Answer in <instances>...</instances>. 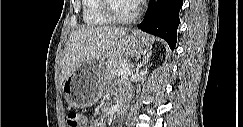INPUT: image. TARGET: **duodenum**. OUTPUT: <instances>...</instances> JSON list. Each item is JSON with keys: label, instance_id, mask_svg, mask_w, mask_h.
<instances>
[{"label": "duodenum", "instance_id": "410a0bca", "mask_svg": "<svg viewBox=\"0 0 243 127\" xmlns=\"http://www.w3.org/2000/svg\"><path fill=\"white\" fill-rule=\"evenodd\" d=\"M128 102L129 98L127 94H124L116 104V112L118 114H123L128 106Z\"/></svg>", "mask_w": 243, "mask_h": 127}]
</instances>
